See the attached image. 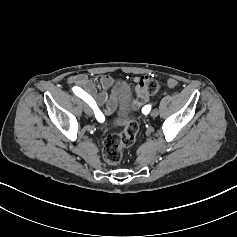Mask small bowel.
<instances>
[{
    "label": "small bowel",
    "mask_w": 237,
    "mask_h": 237,
    "mask_svg": "<svg viewBox=\"0 0 237 237\" xmlns=\"http://www.w3.org/2000/svg\"><path fill=\"white\" fill-rule=\"evenodd\" d=\"M151 76H139L135 78L136 84V103L137 105L145 104L148 102V96L143 92L145 83ZM68 83L73 87H79L89 94L94 102L96 108L100 113L110 114L117 107L118 93L120 85L109 75H101L99 77V85L103 90H111L109 94L106 92H98L94 81L86 74H77L68 78ZM178 82L175 79H168L166 86L169 88L176 87Z\"/></svg>",
    "instance_id": "obj_1"
}]
</instances>
